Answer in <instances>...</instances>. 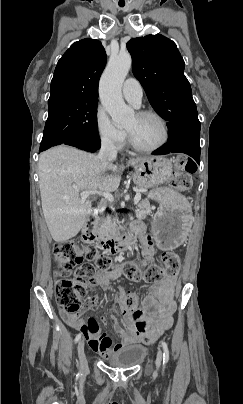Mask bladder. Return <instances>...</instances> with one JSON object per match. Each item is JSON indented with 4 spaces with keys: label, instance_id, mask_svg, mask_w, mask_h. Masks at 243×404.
Returning a JSON list of instances; mask_svg holds the SVG:
<instances>
[{
    "label": "bladder",
    "instance_id": "1",
    "mask_svg": "<svg viewBox=\"0 0 243 404\" xmlns=\"http://www.w3.org/2000/svg\"><path fill=\"white\" fill-rule=\"evenodd\" d=\"M147 348L141 344H130L113 351L106 362L110 367L130 369L140 364L147 356Z\"/></svg>",
    "mask_w": 243,
    "mask_h": 404
}]
</instances>
